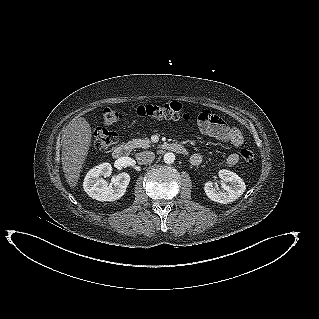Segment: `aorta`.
<instances>
[{
    "mask_svg": "<svg viewBox=\"0 0 319 319\" xmlns=\"http://www.w3.org/2000/svg\"><path fill=\"white\" fill-rule=\"evenodd\" d=\"M174 161H175V154L174 153H172V152L165 153L164 162L166 164H172V163H174Z\"/></svg>",
    "mask_w": 319,
    "mask_h": 319,
    "instance_id": "762f6f07",
    "label": "aorta"
}]
</instances>
